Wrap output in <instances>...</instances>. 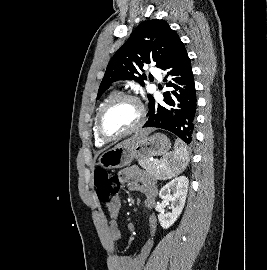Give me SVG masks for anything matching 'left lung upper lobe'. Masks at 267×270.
Returning a JSON list of instances; mask_svg holds the SVG:
<instances>
[{
  "label": "left lung upper lobe",
  "instance_id": "5c2ea615",
  "mask_svg": "<svg viewBox=\"0 0 267 270\" xmlns=\"http://www.w3.org/2000/svg\"><path fill=\"white\" fill-rule=\"evenodd\" d=\"M179 41V36L164 20L154 19L141 23L110 60L97 99L116 80L134 79L143 85L146 76L140 72L144 64L156 62V66L162 69ZM148 98L150 106L154 99L151 95Z\"/></svg>",
  "mask_w": 267,
  "mask_h": 270
}]
</instances>
